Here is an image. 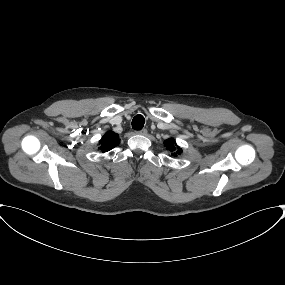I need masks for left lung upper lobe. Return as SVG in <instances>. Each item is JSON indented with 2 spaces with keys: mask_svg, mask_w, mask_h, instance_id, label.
Wrapping results in <instances>:
<instances>
[{
  "mask_svg": "<svg viewBox=\"0 0 285 285\" xmlns=\"http://www.w3.org/2000/svg\"><path fill=\"white\" fill-rule=\"evenodd\" d=\"M165 146L167 147L168 150L176 151L174 155H180L182 150L179 147H176L175 140L173 138L167 139L164 142Z\"/></svg>",
  "mask_w": 285,
  "mask_h": 285,
  "instance_id": "obj_1",
  "label": "left lung upper lobe"
}]
</instances>
